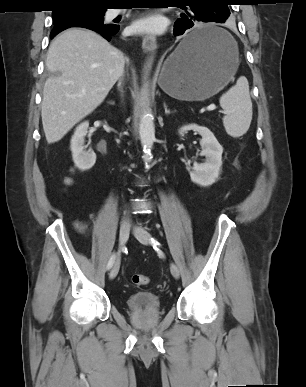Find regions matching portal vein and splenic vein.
Instances as JSON below:
<instances>
[{"mask_svg": "<svg viewBox=\"0 0 306 387\" xmlns=\"http://www.w3.org/2000/svg\"><path fill=\"white\" fill-rule=\"evenodd\" d=\"M216 109V105H214V104H210L208 107H207V110L208 111H213V110H215Z\"/></svg>", "mask_w": 306, "mask_h": 387, "instance_id": "obj_1", "label": "portal vein and splenic vein"}]
</instances>
